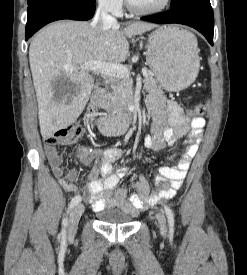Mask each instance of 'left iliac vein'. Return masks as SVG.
<instances>
[{
  "label": "left iliac vein",
  "instance_id": "left-iliac-vein-1",
  "mask_svg": "<svg viewBox=\"0 0 247 275\" xmlns=\"http://www.w3.org/2000/svg\"><path fill=\"white\" fill-rule=\"evenodd\" d=\"M157 220H158V225H159L160 232L163 236H165L166 235L165 217L162 214H158L157 215Z\"/></svg>",
  "mask_w": 247,
  "mask_h": 275
}]
</instances>
